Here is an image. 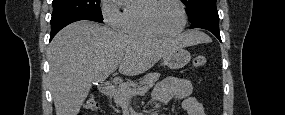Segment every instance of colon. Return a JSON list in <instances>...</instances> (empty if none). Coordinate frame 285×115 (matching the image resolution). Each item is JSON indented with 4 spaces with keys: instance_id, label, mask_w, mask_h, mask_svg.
<instances>
[{
    "instance_id": "5ec220e1",
    "label": "colon",
    "mask_w": 285,
    "mask_h": 115,
    "mask_svg": "<svg viewBox=\"0 0 285 115\" xmlns=\"http://www.w3.org/2000/svg\"><path fill=\"white\" fill-rule=\"evenodd\" d=\"M193 64L196 68H206L208 60L204 55H198L194 58ZM84 108L87 112H95L99 108V103L94 97H89L86 100Z\"/></svg>"
}]
</instances>
